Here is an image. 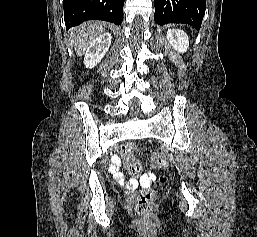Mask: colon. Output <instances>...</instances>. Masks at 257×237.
Listing matches in <instances>:
<instances>
[{"label":"colon","instance_id":"1","mask_svg":"<svg viewBox=\"0 0 257 237\" xmlns=\"http://www.w3.org/2000/svg\"><path fill=\"white\" fill-rule=\"evenodd\" d=\"M135 149L136 148L134 145L127 144L123 147L122 153L129 172L134 176H139L143 172V166L141 163L131 159V155ZM151 160L152 164L156 168H165L167 165L166 156L160 152L154 153ZM165 181L166 177L164 175L160 176L157 182V186L160 187L163 183H165ZM153 198L154 190L152 188H147L140 191L137 196L136 211L144 220L151 219L153 216Z\"/></svg>","mask_w":257,"mask_h":237}]
</instances>
